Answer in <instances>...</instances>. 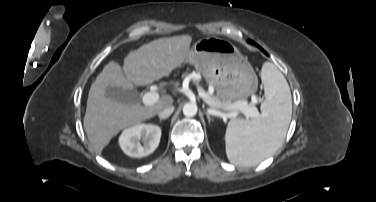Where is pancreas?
Wrapping results in <instances>:
<instances>
[{"instance_id":"obj_1","label":"pancreas","mask_w":376,"mask_h":202,"mask_svg":"<svg viewBox=\"0 0 376 202\" xmlns=\"http://www.w3.org/2000/svg\"><path fill=\"white\" fill-rule=\"evenodd\" d=\"M206 96H201L202 98H203V100L207 103V104H209L211 107H213V108H218V107H220V105H221V100L219 99V97H213V96H211V95H209V94H206V93H204ZM224 102H226V103H229L230 101L229 100H226V101H224ZM237 102H241V103H243V102H245V100H239V101H237ZM246 109H247V107L246 106H241V107H237L236 108V110L237 111H240V112H242V113H244V114H247V111H246Z\"/></svg>"}]
</instances>
